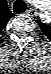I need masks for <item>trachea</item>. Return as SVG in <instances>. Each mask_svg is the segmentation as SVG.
<instances>
[{"instance_id": "trachea-1", "label": "trachea", "mask_w": 51, "mask_h": 74, "mask_svg": "<svg viewBox=\"0 0 51 74\" xmlns=\"http://www.w3.org/2000/svg\"><path fill=\"white\" fill-rule=\"evenodd\" d=\"M26 8L25 3L22 0H17L14 5V11L18 12L20 9Z\"/></svg>"}]
</instances>
